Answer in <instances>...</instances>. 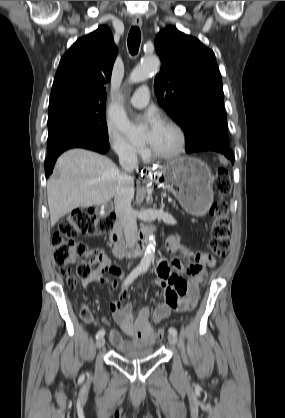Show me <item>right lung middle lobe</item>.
<instances>
[{"label": "right lung middle lobe", "instance_id": "1", "mask_svg": "<svg viewBox=\"0 0 285 418\" xmlns=\"http://www.w3.org/2000/svg\"><path fill=\"white\" fill-rule=\"evenodd\" d=\"M104 103L60 101L49 104L47 152L78 138L108 141Z\"/></svg>", "mask_w": 285, "mask_h": 418}]
</instances>
